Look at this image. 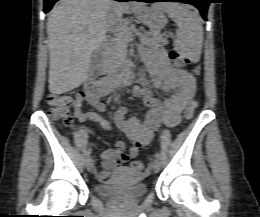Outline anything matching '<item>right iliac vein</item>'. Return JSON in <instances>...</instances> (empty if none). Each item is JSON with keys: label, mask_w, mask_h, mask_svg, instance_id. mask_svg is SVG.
I'll return each mask as SVG.
<instances>
[{"label": "right iliac vein", "mask_w": 260, "mask_h": 217, "mask_svg": "<svg viewBox=\"0 0 260 217\" xmlns=\"http://www.w3.org/2000/svg\"><path fill=\"white\" fill-rule=\"evenodd\" d=\"M85 167L87 169V171H91L92 167H93V160L91 157H88L86 162H85Z\"/></svg>", "instance_id": "63e3f726"}]
</instances>
